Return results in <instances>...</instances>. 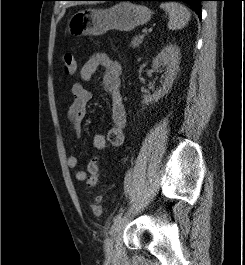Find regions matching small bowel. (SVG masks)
<instances>
[{
  "mask_svg": "<svg viewBox=\"0 0 245 265\" xmlns=\"http://www.w3.org/2000/svg\"><path fill=\"white\" fill-rule=\"evenodd\" d=\"M99 68L104 69L102 84L111 99L112 125L106 135L95 134L92 138V144L98 150H106L120 147L124 143L127 114L121 94L122 66L119 61L105 52H96L82 65L79 72L81 80L84 82L92 81ZM71 92L73 100L67 110V120L70 129L79 137L81 123L86 115L92 93L81 83L73 84ZM67 166L70 169H76L78 166L77 158L69 156ZM75 178L78 181H85L88 177L85 171L77 170Z\"/></svg>",
  "mask_w": 245,
  "mask_h": 265,
  "instance_id": "c3829d8e",
  "label": "small bowel"
}]
</instances>
